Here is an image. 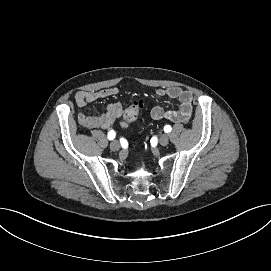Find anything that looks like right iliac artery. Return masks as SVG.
Listing matches in <instances>:
<instances>
[{"label":"right iliac artery","mask_w":271,"mask_h":271,"mask_svg":"<svg viewBox=\"0 0 271 271\" xmlns=\"http://www.w3.org/2000/svg\"><path fill=\"white\" fill-rule=\"evenodd\" d=\"M115 135H116V133H115L114 130L109 131V133H108V139L109 140H113L115 138Z\"/></svg>","instance_id":"right-iliac-artery-1"}]
</instances>
